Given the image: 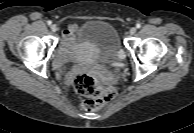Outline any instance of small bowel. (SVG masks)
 I'll use <instances>...</instances> for the list:
<instances>
[{"mask_svg": "<svg viewBox=\"0 0 194 133\" xmlns=\"http://www.w3.org/2000/svg\"><path fill=\"white\" fill-rule=\"evenodd\" d=\"M75 30H76V26L72 25L64 32V35H63L64 46H67L69 44V41L71 40ZM64 58H65V52H62L59 57L58 63L61 64Z\"/></svg>", "mask_w": 194, "mask_h": 133, "instance_id": "obj_1", "label": "small bowel"}]
</instances>
